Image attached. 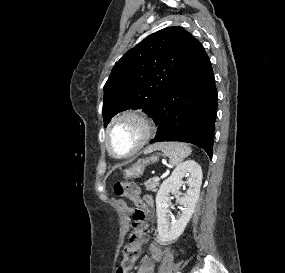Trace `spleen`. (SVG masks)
I'll return each instance as SVG.
<instances>
[{
	"label": "spleen",
	"mask_w": 285,
	"mask_h": 273,
	"mask_svg": "<svg viewBox=\"0 0 285 273\" xmlns=\"http://www.w3.org/2000/svg\"><path fill=\"white\" fill-rule=\"evenodd\" d=\"M153 150H160L169 157L170 164L173 166H178L180 163L188 157L192 150L191 148L181 142H161L150 146L145 150V153H150Z\"/></svg>",
	"instance_id": "spleen-1"
}]
</instances>
